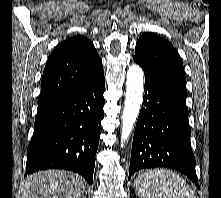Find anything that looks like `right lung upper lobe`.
<instances>
[{"label": "right lung upper lobe", "mask_w": 221, "mask_h": 198, "mask_svg": "<svg viewBox=\"0 0 221 198\" xmlns=\"http://www.w3.org/2000/svg\"><path fill=\"white\" fill-rule=\"evenodd\" d=\"M101 74V59L86 37L77 35L61 42L44 68L38 109L86 86Z\"/></svg>", "instance_id": "cb5924a9"}]
</instances>
